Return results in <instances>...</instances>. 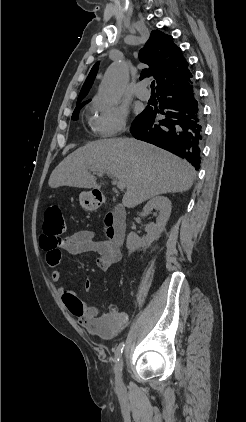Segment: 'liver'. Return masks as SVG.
<instances>
[{"label":"liver","mask_w":246,"mask_h":422,"mask_svg":"<svg viewBox=\"0 0 246 422\" xmlns=\"http://www.w3.org/2000/svg\"><path fill=\"white\" fill-rule=\"evenodd\" d=\"M92 170L104 171L125 184L122 203L133 208L165 193L191 188L195 169L185 160L154 145L131 138L104 139L68 155L51 173V188L100 189Z\"/></svg>","instance_id":"liver-1"}]
</instances>
